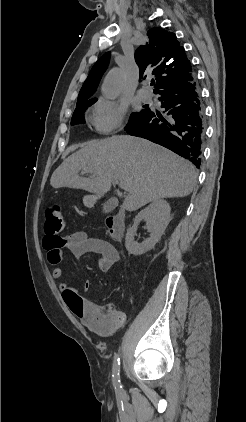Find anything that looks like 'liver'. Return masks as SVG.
<instances>
[{
    "instance_id": "liver-1",
    "label": "liver",
    "mask_w": 246,
    "mask_h": 422,
    "mask_svg": "<svg viewBox=\"0 0 246 422\" xmlns=\"http://www.w3.org/2000/svg\"><path fill=\"white\" fill-rule=\"evenodd\" d=\"M81 170L92 175L82 177ZM115 180L125 184L128 194L123 207L132 212L149 202L188 196L195 186L196 169L148 140L113 136L85 143L54 171L50 184L103 196Z\"/></svg>"
}]
</instances>
